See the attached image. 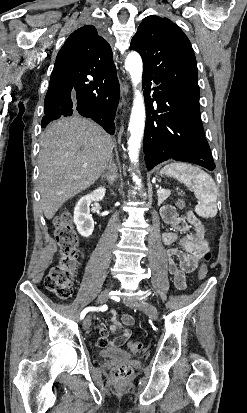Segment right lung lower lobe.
<instances>
[{"mask_svg": "<svg viewBox=\"0 0 247 413\" xmlns=\"http://www.w3.org/2000/svg\"><path fill=\"white\" fill-rule=\"evenodd\" d=\"M119 95L116 70L100 75L53 71L44 102L42 127L61 116L79 113L113 135Z\"/></svg>", "mask_w": 247, "mask_h": 413, "instance_id": "1", "label": "right lung lower lobe"}]
</instances>
